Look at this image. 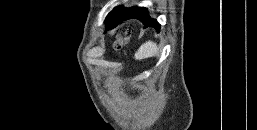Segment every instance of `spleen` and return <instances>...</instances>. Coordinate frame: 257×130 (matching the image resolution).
<instances>
[{
    "label": "spleen",
    "instance_id": "1",
    "mask_svg": "<svg viewBox=\"0 0 257 130\" xmlns=\"http://www.w3.org/2000/svg\"><path fill=\"white\" fill-rule=\"evenodd\" d=\"M158 51L159 49L156 43L152 41H147L140 46V48L135 53L134 58L136 60H142V59L154 57L158 55L159 53Z\"/></svg>",
    "mask_w": 257,
    "mask_h": 130
}]
</instances>
